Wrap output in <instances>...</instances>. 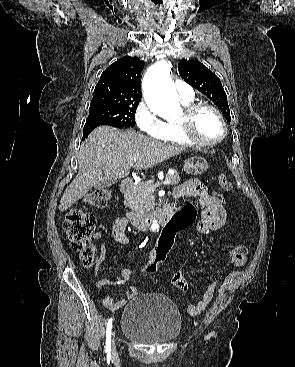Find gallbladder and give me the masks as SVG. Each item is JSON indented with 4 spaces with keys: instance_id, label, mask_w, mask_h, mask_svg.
<instances>
[{
    "instance_id": "gallbladder-1",
    "label": "gallbladder",
    "mask_w": 295,
    "mask_h": 367,
    "mask_svg": "<svg viewBox=\"0 0 295 367\" xmlns=\"http://www.w3.org/2000/svg\"><path fill=\"white\" fill-rule=\"evenodd\" d=\"M115 183H116V180L109 178V179H105L103 181L98 182L97 185L95 186V188L96 189H103V188L109 187V186H111Z\"/></svg>"
}]
</instances>
